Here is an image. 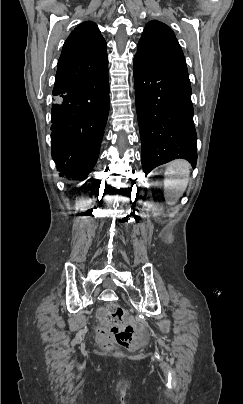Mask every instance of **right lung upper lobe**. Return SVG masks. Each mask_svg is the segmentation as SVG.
Listing matches in <instances>:
<instances>
[{
	"label": "right lung upper lobe",
	"mask_w": 243,
	"mask_h": 404,
	"mask_svg": "<svg viewBox=\"0 0 243 404\" xmlns=\"http://www.w3.org/2000/svg\"><path fill=\"white\" fill-rule=\"evenodd\" d=\"M107 44L97 25H78L65 41L58 61L53 93L85 81L107 68Z\"/></svg>",
	"instance_id": "obj_1"
}]
</instances>
